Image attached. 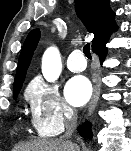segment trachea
I'll use <instances>...</instances> for the list:
<instances>
[{"mask_svg":"<svg viewBox=\"0 0 131 151\" xmlns=\"http://www.w3.org/2000/svg\"><path fill=\"white\" fill-rule=\"evenodd\" d=\"M83 53L85 54V56L89 59L92 58L91 56V52H90V45L89 43H87L84 47H83Z\"/></svg>","mask_w":131,"mask_h":151,"instance_id":"obj_1","label":"trachea"}]
</instances>
